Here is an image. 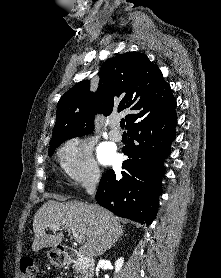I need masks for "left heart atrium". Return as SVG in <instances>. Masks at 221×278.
Returning a JSON list of instances; mask_svg holds the SVG:
<instances>
[{
  "label": "left heart atrium",
  "instance_id": "left-heart-atrium-1",
  "mask_svg": "<svg viewBox=\"0 0 221 278\" xmlns=\"http://www.w3.org/2000/svg\"><path fill=\"white\" fill-rule=\"evenodd\" d=\"M98 156L103 164L112 163L116 159V154L108 144L102 145L98 150Z\"/></svg>",
  "mask_w": 221,
  "mask_h": 278
}]
</instances>
